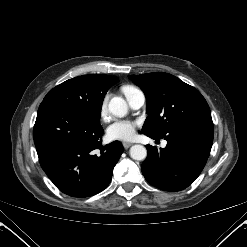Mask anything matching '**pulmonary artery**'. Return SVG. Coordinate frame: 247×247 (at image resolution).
<instances>
[{"label":"pulmonary artery","mask_w":247,"mask_h":247,"mask_svg":"<svg viewBox=\"0 0 247 247\" xmlns=\"http://www.w3.org/2000/svg\"><path fill=\"white\" fill-rule=\"evenodd\" d=\"M126 99L130 107L133 109L141 108L145 102L144 93L139 89H136L135 91L128 94L126 96ZM166 144H167L166 141H163L162 146L164 147L166 146Z\"/></svg>","instance_id":"1"}]
</instances>
